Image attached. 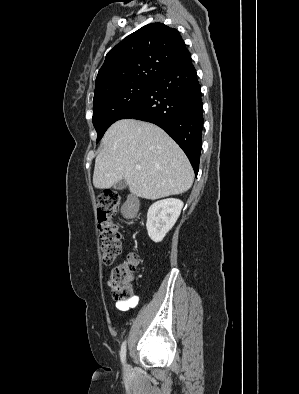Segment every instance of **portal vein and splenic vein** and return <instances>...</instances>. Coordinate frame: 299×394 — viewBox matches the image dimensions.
<instances>
[{
	"mask_svg": "<svg viewBox=\"0 0 299 394\" xmlns=\"http://www.w3.org/2000/svg\"><path fill=\"white\" fill-rule=\"evenodd\" d=\"M136 169H137V170H140V169H141V167H140V166H137V167H136Z\"/></svg>",
	"mask_w": 299,
	"mask_h": 394,
	"instance_id": "1",
	"label": "portal vein and splenic vein"
}]
</instances>
